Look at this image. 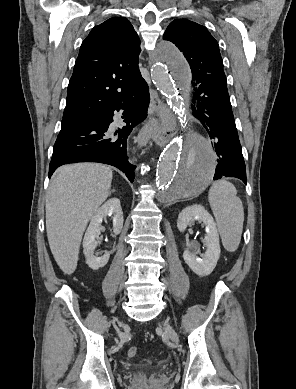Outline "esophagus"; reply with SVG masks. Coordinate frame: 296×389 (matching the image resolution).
Here are the masks:
<instances>
[{
  "label": "esophagus",
  "mask_w": 296,
  "mask_h": 389,
  "mask_svg": "<svg viewBox=\"0 0 296 389\" xmlns=\"http://www.w3.org/2000/svg\"><path fill=\"white\" fill-rule=\"evenodd\" d=\"M150 98V109L153 110V113L150 115V123L143 124L141 127L142 131H137L134 135V140L140 147H143L144 144H148L150 142V132L152 129L156 130L160 125L166 124L168 118L171 117L170 110L159 98V95L155 90H150Z\"/></svg>",
  "instance_id": "esophagus-1"
}]
</instances>
